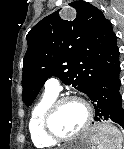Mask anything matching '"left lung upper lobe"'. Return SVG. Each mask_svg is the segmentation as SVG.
I'll return each mask as SVG.
<instances>
[{
	"instance_id": "1",
	"label": "left lung upper lobe",
	"mask_w": 124,
	"mask_h": 149,
	"mask_svg": "<svg viewBox=\"0 0 124 149\" xmlns=\"http://www.w3.org/2000/svg\"><path fill=\"white\" fill-rule=\"evenodd\" d=\"M70 5L77 11L74 21L62 20L56 11L26 36L22 99L27 106L51 76L86 94L99 78L120 64L117 37L102 11L85 1Z\"/></svg>"
}]
</instances>
